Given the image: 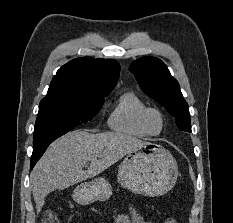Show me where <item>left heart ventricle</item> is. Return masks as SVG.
Wrapping results in <instances>:
<instances>
[{
  "label": "left heart ventricle",
  "instance_id": "1",
  "mask_svg": "<svg viewBox=\"0 0 233 223\" xmlns=\"http://www.w3.org/2000/svg\"><path fill=\"white\" fill-rule=\"evenodd\" d=\"M149 127L153 133H159L163 129V120L158 113L149 116Z\"/></svg>",
  "mask_w": 233,
  "mask_h": 223
}]
</instances>
